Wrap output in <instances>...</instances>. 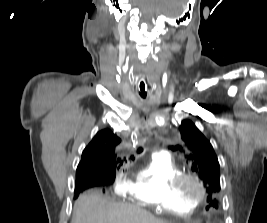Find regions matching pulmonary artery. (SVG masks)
Wrapping results in <instances>:
<instances>
[{"instance_id": "pulmonary-artery-1", "label": "pulmonary artery", "mask_w": 267, "mask_h": 223, "mask_svg": "<svg viewBox=\"0 0 267 223\" xmlns=\"http://www.w3.org/2000/svg\"><path fill=\"white\" fill-rule=\"evenodd\" d=\"M158 154L166 155L167 153H166V151H164V150H160Z\"/></svg>"}]
</instances>
